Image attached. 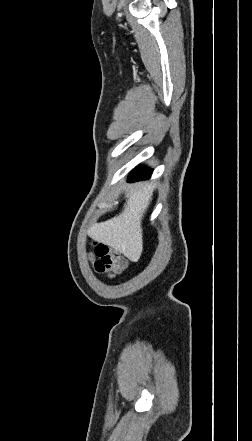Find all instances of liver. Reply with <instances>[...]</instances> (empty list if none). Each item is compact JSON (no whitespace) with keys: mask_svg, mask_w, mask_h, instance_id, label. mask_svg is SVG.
Instances as JSON below:
<instances>
[{"mask_svg":"<svg viewBox=\"0 0 252 441\" xmlns=\"http://www.w3.org/2000/svg\"><path fill=\"white\" fill-rule=\"evenodd\" d=\"M154 186L139 183L130 187L123 211L105 221L94 224L89 235L137 262L143 251L142 219L152 200Z\"/></svg>","mask_w":252,"mask_h":441,"instance_id":"6515ba94","label":"liver"}]
</instances>
